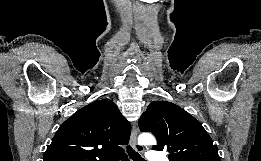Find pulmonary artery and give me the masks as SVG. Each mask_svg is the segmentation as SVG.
Wrapping results in <instances>:
<instances>
[{"instance_id":"obj_1","label":"pulmonary artery","mask_w":261,"mask_h":161,"mask_svg":"<svg viewBox=\"0 0 261 161\" xmlns=\"http://www.w3.org/2000/svg\"><path fill=\"white\" fill-rule=\"evenodd\" d=\"M150 161H169L168 157L163 155V156H157V155H150L148 157Z\"/></svg>"}]
</instances>
